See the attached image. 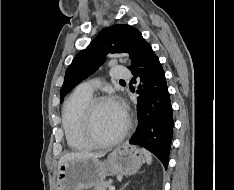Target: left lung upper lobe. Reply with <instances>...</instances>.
<instances>
[{
    "mask_svg": "<svg viewBox=\"0 0 234 190\" xmlns=\"http://www.w3.org/2000/svg\"><path fill=\"white\" fill-rule=\"evenodd\" d=\"M147 43L141 33L126 24L104 28L88 47L79 52L68 67L61 88L64 96L83 79L94 73L109 53H129L134 61L138 51Z\"/></svg>",
    "mask_w": 234,
    "mask_h": 190,
    "instance_id": "5c2ea615",
    "label": "left lung upper lobe"
}]
</instances>
